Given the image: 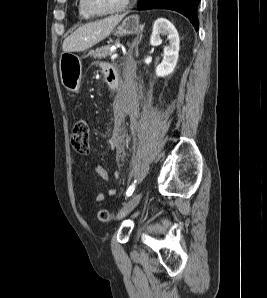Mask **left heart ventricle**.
Returning a JSON list of instances; mask_svg holds the SVG:
<instances>
[{"mask_svg": "<svg viewBox=\"0 0 267 298\" xmlns=\"http://www.w3.org/2000/svg\"><path fill=\"white\" fill-rule=\"evenodd\" d=\"M125 0H88L92 9L98 12H109L118 9Z\"/></svg>", "mask_w": 267, "mask_h": 298, "instance_id": "obj_1", "label": "left heart ventricle"}]
</instances>
